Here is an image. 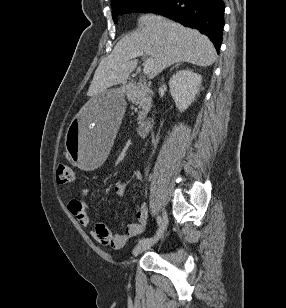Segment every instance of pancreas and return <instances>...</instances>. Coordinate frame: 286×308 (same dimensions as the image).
<instances>
[{"mask_svg": "<svg viewBox=\"0 0 286 308\" xmlns=\"http://www.w3.org/2000/svg\"><path fill=\"white\" fill-rule=\"evenodd\" d=\"M126 96L129 101L136 104L140 111L138 115V123L144 120L152 104V91L145 84L137 83L126 89Z\"/></svg>", "mask_w": 286, "mask_h": 308, "instance_id": "pancreas-1", "label": "pancreas"}]
</instances>
